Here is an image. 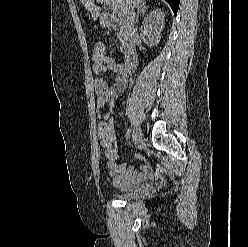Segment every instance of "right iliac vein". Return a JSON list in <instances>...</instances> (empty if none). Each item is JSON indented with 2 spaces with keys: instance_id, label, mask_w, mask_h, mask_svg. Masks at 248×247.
Segmentation results:
<instances>
[{
  "instance_id": "right-iliac-vein-1",
  "label": "right iliac vein",
  "mask_w": 248,
  "mask_h": 247,
  "mask_svg": "<svg viewBox=\"0 0 248 247\" xmlns=\"http://www.w3.org/2000/svg\"><path fill=\"white\" fill-rule=\"evenodd\" d=\"M133 141L135 145H139L143 141L142 134L139 128H135L133 130Z\"/></svg>"
}]
</instances>
